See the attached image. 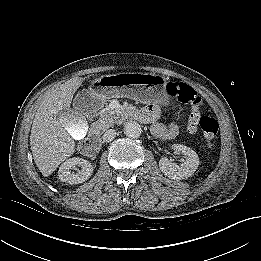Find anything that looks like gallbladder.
Here are the masks:
<instances>
[{
  "instance_id": "gallbladder-1",
  "label": "gallbladder",
  "mask_w": 261,
  "mask_h": 261,
  "mask_svg": "<svg viewBox=\"0 0 261 261\" xmlns=\"http://www.w3.org/2000/svg\"><path fill=\"white\" fill-rule=\"evenodd\" d=\"M61 124L64 130L75 140L82 139L88 130L87 120L75 110L64 112L61 116Z\"/></svg>"
}]
</instances>
